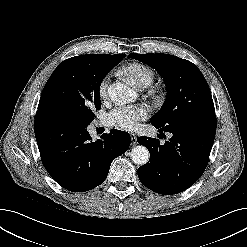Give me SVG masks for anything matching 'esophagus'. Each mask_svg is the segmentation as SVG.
<instances>
[{
	"instance_id": "esophagus-1",
	"label": "esophagus",
	"mask_w": 247,
	"mask_h": 247,
	"mask_svg": "<svg viewBox=\"0 0 247 247\" xmlns=\"http://www.w3.org/2000/svg\"><path fill=\"white\" fill-rule=\"evenodd\" d=\"M132 145L135 146L137 144V136L133 133L130 134Z\"/></svg>"
}]
</instances>
